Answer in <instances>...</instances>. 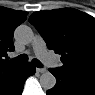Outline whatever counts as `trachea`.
Listing matches in <instances>:
<instances>
[{
  "label": "trachea",
  "instance_id": "trachea-1",
  "mask_svg": "<svg viewBox=\"0 0 95 95\" xmlns=\"http://www.w3.org/2000/svg\"><path fill=\"white\" fill-rule=\"evenodd\" d=\"M15 60L18 61V62H26V61L28 60V57H27V55H25V54H21V55L17 56V57L15 58ZM32 63H33L37 68H42V67H43L42 63H41L38 59H33V60H32Z\"/></svg>",
  "mask_w": 95,
  "mask_h": 95
}]
</instances>
